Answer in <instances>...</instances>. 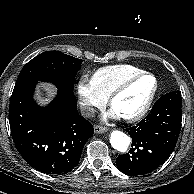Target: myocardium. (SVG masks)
Here are the masks:
<instances>
[{
	"label": "myocardium",
	"instance_id": "obj_1",
	"mask_svg": "<svg viewBox=\"0 0 194 194\" xmlns=\"http://www.w3.org/2000/svg\"><path fill=\"white\" fill-rule=\"evenodd\" d=\"M146 76L152 77L154 79V82H155L154 89L151 92L146 103L144 104V106L141 108V110L139 112H137L136 114H134L132 116L122 117V119L126 122H129V123L137 122L146 116V114L150 110V108H151V106H152V104L157 96L158 90H159V81H158L157 77L153 73L148 72V71H142L140 73L132 75V76L128 77L127 79H125L124 81H122L112 91V93L108 97V103L111 107H113V102L115 101V99L117 97H119L123 92H125L135 81L139 80L142 77H146Z\"/></svg>",
	"mask_w": 194,
	"mask_h": 194
}]
</instances>
